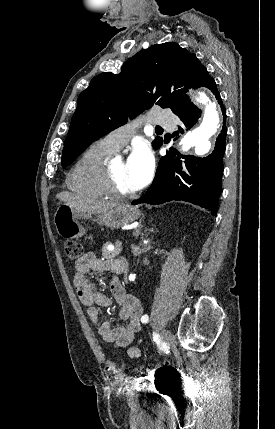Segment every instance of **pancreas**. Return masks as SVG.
Wrapping results in <instances>:
<instances>
[{"label": "pancreas", "mask_w": 275, "mask_h": 429, "mask_svg": "<svg viewBox=\"0 0 275 429\" xmlns=\"http://www.w3.org/2000/svg\"><path fill=\"white\" fill-rule=\"evenodd\" d=\"M109 245H110V243H106L102 247V255L106 259H112V258L118 256L119 253L121 252V247H117L116 244H115V248L113 250L108 249Z\"/></svg>", "instance_id": "1"}]
</instances>
